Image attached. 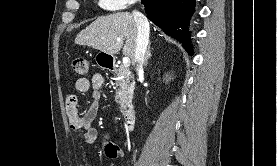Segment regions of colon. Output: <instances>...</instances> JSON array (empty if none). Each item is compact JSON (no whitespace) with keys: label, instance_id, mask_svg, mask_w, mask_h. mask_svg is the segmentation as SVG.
Masks as SVG:
<instances>
[{"label":"colon","instance_id":"1","mask_svg":"<svg viewBox=\"0 0 277 166\" xmlns=\"http://www.w3.org/2000/svg\"><path fill=\"white\" fill-rule=\"evenodd\" d=\"M74 71L81 76H84L89 71V61L85 57H77L73 60Z\"/></svg>","mask_w":277,"mask_h":166}]
</instances>
